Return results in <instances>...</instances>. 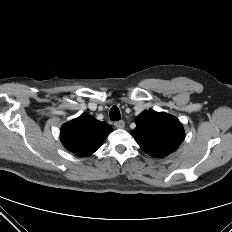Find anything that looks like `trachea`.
<instances>
[{
    "instance_id": "3493384b",
    "label": "trachea",
    "mask_w": 232,
    "mask_h": 232,
    "mask_svg": "<svg viewBox=\"0 0 232 232\" xmlns=\"http://www.w3.org/2000/svg\"><path fill=\"white\" fill-rule=\"evenodd\" d=\"M110 119L112 121H117V120H120L121 116H120V111L118 109L117 106H113L111 109H110Z\"/></svg>"
}]
</instances>
